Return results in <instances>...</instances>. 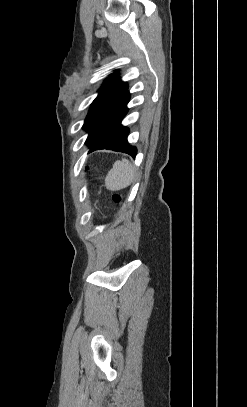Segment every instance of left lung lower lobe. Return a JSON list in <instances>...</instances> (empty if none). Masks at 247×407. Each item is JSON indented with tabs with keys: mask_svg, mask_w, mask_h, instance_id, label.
<instances>
[{
	"mask_svg": "<svg viewBox=\"0 0 247 407\" xmlns=\"http://www.w3.org/2000/svg\"><path fill=\"white\" fill-rule=\"evenodd\" d=\"M130 94L126 90L115 99L91 126L86 144L90 152L99 149L120 151L135 157L137 149L127 141L128 128L121 125Z\"/></svg>",
	"mask_w": 247,
	"mask_h": 407,
	"instance_id": "left-lung-lower-lobe-1",
	"label": "left lung lower lobe"
}]
</instances>
